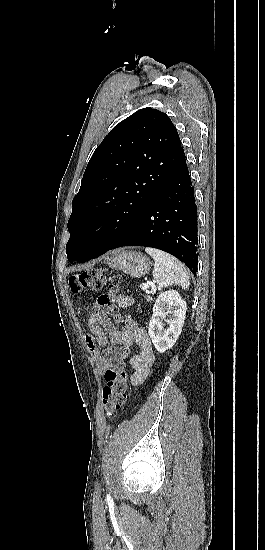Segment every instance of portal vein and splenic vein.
<instances>
[{"mask_svg":"<svg viewBox=\"0 0 265 550\" xmlns=\"http://www.w3.org/2000/svg\"><path fill=\"white\" fill-rule=\"evenodd\" d=\"M141 288H142V290H146V291H147L148 288H149V284H148V283H145V284H143V285L141 286ZM153 292H155V291H153Z\"/></svg>","mask_w":265,"mask_h":550,"instance_id":"obj_1","label":"portal vein and splenic vein"}]
</instances>
